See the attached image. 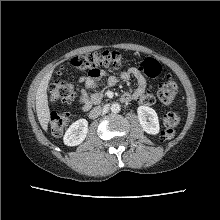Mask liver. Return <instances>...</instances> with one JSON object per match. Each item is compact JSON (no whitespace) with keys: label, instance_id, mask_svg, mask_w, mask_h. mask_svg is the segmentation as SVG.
Instances as JSON below:
<instances>
[{"label":"liver","instance_id":"6515ba94","mask_svg":"<svg viewBox=\"0 0 220 220\" xmlns=\"http://www.w3.org/2000/svg\"><path fill=\"white\" fill-rule=\"evenodd\" d=\"M52 75V70L49 71L39 83L36 92V112L38 120L43 130L47 131L50 120V109L48 105L47 88Z\"/></svg>","mask_w":220,"mask_h":220}]
</instances>
